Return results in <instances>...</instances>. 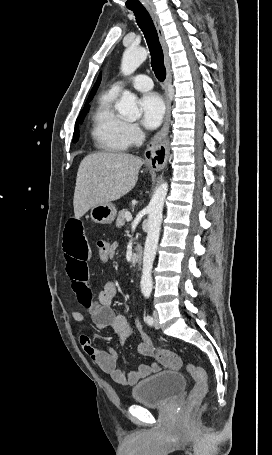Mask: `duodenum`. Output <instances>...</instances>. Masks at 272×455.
I'll list each match as a JSON object with an SVG mask.
<instances>
[{
	"label": "duodenum",
	"instance_id": "1",
	"mask_svg": "<svg viewBox=\"0 0 272 455\" xmlns=\"http://www.w3.org/2000/svg\"><path fill=\"white\" fill-rule=\"evenodd\" d=\"M134 255H135L137 264L140 265L143 260V249L140 246H136Z\"/></svg>",
	"mask_w": 272,
	"mask_h": 455
}]
</instances>
